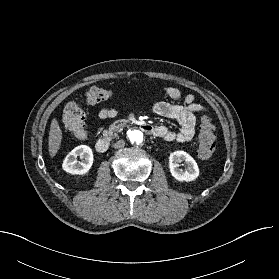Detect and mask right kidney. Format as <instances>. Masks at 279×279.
Listing matches in <instances>:
<instances>
[{
	"instance_id": "obj_1",
	"label": "right kidney",
	"mask_w": 279,
	"mask_h": 279,
	"mask_svg": "<svg viewBox=\"0 0 279 279\" xmlns=\"http://www.w3.org/2000/svg\"><path fill=\"white\" fill-rule=\"evenodd\" d=\"M84 159L81 162L77 161V157ZM93 152L92 149L87 145H80L74 148L64 159L62 167L64 171L83 175L86 174L93 164Z\"/></svg>"
}]
</instances>
